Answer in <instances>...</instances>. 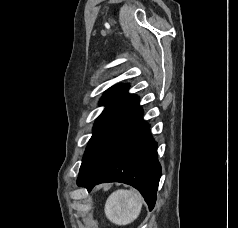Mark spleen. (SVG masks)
<instances>
[{"instance_id": "obj_1", "label": "spleen", "mask_w": 238, "mask_h": 228, "mask_svg": "<svg viewBox=\"0 0 238 228\" xmlns=\"http://www.w3.org/2000/svg\"><path fill=\"white\" fill-rule=\"evenodd\" d=\"M143 202L142 196L137 191L119 189L107 198L104 212L110 222L127 225L138 218Z\"/></svg>"}]
</instances>
